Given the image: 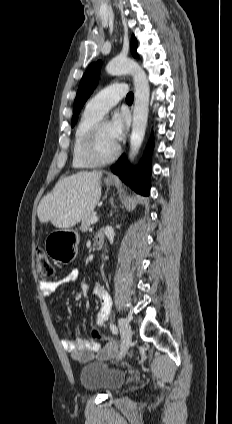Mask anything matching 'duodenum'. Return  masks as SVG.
Returning a JSON list of instances; mask_svg holds the SVG:
<instances>
[{"instance_id":"obj_1","label":"duodenum","mask_w":232,"mask_h":424,"mask_svg":"<svg viewBox=\"0 0 232 424\" xmlns=\"http://www.w3.org/2000/svg\"><path fill=\"white\" fill-rule=\"evenodd\" d=\"M105 236L102 232H98L95 238V248L101 249L103 247Z\"/></svg>"}]
</instances>
